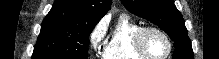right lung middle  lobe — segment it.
Returning <instances> with one entry per match:
<instances>
[{
    "mask_svg": "<svg viewBox=\"0 0 219 59\" xmlns=\"http://www.w3.org/2000/svg\"><path fill=\"white\" fill-rule=\"evenodd\" d=\"M95 25L44 19L32 59H87L89 35Z\"/></svg>",
    "mask_w": 219,
    "mask_h": 59,
    "instance_id": "right-lung-middle-lobe-1",
    "label": "right lung middle lobe"
}]
</instances>
